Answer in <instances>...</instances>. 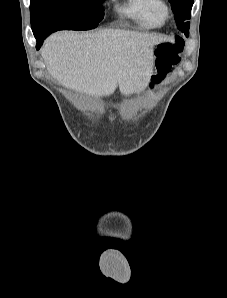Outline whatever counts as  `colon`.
<instances>
[{"label": "colon", "instance_id": "5ec220e1", "mask_svg": "<svg viewBox=\"0 0 227 298\" xmlns=\"http://www.w3.org/2000/svg\"><path fill=\"white\" fill-rule=\"evenodd\" d=\"M183 46L180 37H176L173 41L161 42L156 46L155 69L157 75L152 79L154 84L162 81L171 68L179 63Z\"/></svg>", "mask_w": 227, "mask_h": 298}]
</instances>
